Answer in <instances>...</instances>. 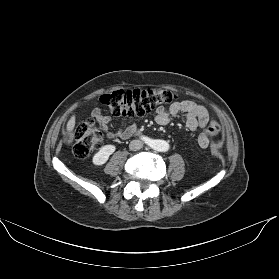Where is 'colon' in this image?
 I'll use <instances>...</instances> for the list:
<instances>
[{"instance_id":"obj_1","label":"colon","mask_w":279,"mask_h":279,"mask_svg":"<svg viewBox=\"0 0 279 279\" xmlns=\"http://www.w3.org/2000/svg\"><path fill=\"white\" fill-rule=\"evenodd\" d=\"M174 92L166 89H134L116 90L101 96V103L107 107L114 117H142L156 107L173 102ZM220 130V124L213 119L207 128L212 137ZM105 130L93 119L81 122L74 132L73 153L84 159L91 152L100 149L104 144Z\"/></svg>"}]
</instances>
